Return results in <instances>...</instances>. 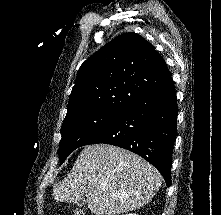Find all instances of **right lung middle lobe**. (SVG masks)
I'll return each mask as SVG.
<instances>
[{
	"label": "right lung middle lobe",
	"instance_id": "obj_1",
	"mask_svg": "<svg viewBox=\"0 0 221 215\" xmlns=\"http://www.w3.org/2000/svg\"><path fill=\"white\" fill-rule=\"evenodd\" d=\"M119 116L120 113L100 109L83 110L66 115L61 128L60 164L71 152L83 146Z\"/></svg>",
	"mask_w": 221,
	"mask_h": 215
}]
</instances>
